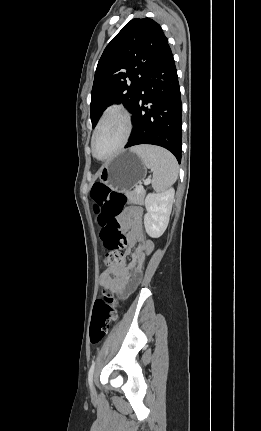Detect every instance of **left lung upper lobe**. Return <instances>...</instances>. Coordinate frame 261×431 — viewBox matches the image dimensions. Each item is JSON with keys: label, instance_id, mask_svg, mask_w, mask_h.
Segmentation results:
<instances>
[{"label": "left lung upper lobe", "instance_id": "5c2ea615", "mask_svg": "<svg viewBox=\"0 0 261 431\" xmlns=\"http://www.w3.org/2000/svg\"><path fill=\"white\" fill-rule=\"evenodd\" d=\"M167 45L160 25L150 18L132 19L121 29L97 65L90 104L93 126L113 103L132 111L149 68Z\"/></svg>", "mask_w": 261, "mask_h": 431}]
</instances>
